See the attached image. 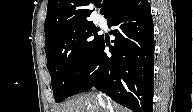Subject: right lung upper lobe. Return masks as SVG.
<instances>
[{"instance_id": "cb5924a9", "label": "right lung upper lobe", "mask_w": 193, "mask_h": 112, "mask_svg": "<svg viewBox=\"0 0 193 112\" xmlns=\"http://www.w3.org/2000/svg\"><path fill=\"white\" fill-rule=\"evenodd\" d=\"M103 2L100 13L108 20L132 0H49L44 24L46 42L64 29L92 23L88 19L93 10Z\"/></svg>"}]
</instances>
